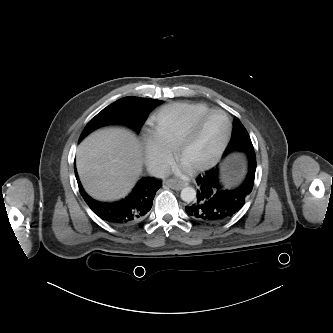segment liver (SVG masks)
I'll use <instances>...</instances> for the list:
<instances>
[{"label": "liver", "mask_w": 333, "mask_h": 333, "mask_svg": "<svg viewBox=\"0 0 333 333\" xmlns=\"http://www.w3.org/2000/svg\"><path fill=\"white\" fill-rule=\"evenodd\" d=\"M76 167L85 191L110 201L127 194L142 170V149L135 134L122 128L102 129L77 148Z\"/></svg>", "instance_id": "6515ba94"}]
</instances>
